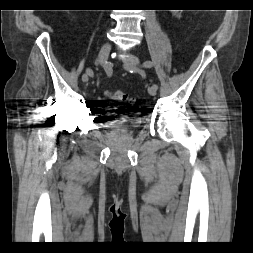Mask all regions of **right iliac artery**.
<instances>
[{
    "label": "right iliac artery",
    "mask_w": 253,
    "mask_h": 253,
    "mask_svg": "<svg viewBox=\"0 0 253 253\" xmlns=\"http://www.w3.org/2000/svg\"><path fill=\"white\" fill-rule=\"evenodd\" d=\"M104 68H105V71H106L107 75L110 76L111 75V69L109 68V66H105ZM85 71H86L87 75L92 76V71L90 70L89 67H86Z\"/></svg>",
    "instance_id": "right-iliac-artery-1"
}]
</instances>
